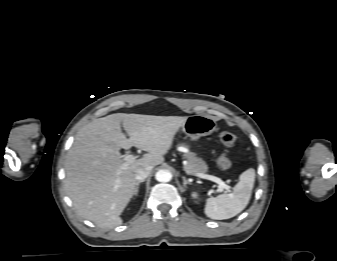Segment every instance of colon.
<instances>
[{
	"label": "colon",
	"instance_id": "1",
	"mask_svg": "<svg viewBox=\"0 0 337 261\" xmlns=\"http://www.w3.org/2000/svg\"><path fill=\"white\" fill-rule=\"evenodd\" d=\"M219 141L225 148L232 147L236 142V136L228 131H222L219 134ZM217 165L220 170L227 171L231 168V160L227 153H222L217 160Z\"/></svg>",
	"mask_w": 337,
	"mask_h": 261
}]
</instances>
